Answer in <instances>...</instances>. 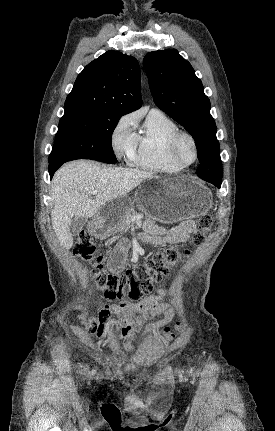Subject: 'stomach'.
<instances>
[{
    "label": "stomach",
    "mask_w": 275,
    "mask_h": 431,
    "mask_svg": "<svg viewBox=\"0 0 275 431\" xmlns=\"http://www.w3.org/2000/svg\"><path fill=\"white\" fill-rule=\"evenodd\" d=\"M154 187H140L134 200L120 197L100 208L90 231L97 238H106L120 224L123 214L136 202L149 217L163 223L203 216L213 204L211 192L194 180L178 176L154 177Z\"/></svg>",
    "instance_id": "obj_1"
}]
</instances>
